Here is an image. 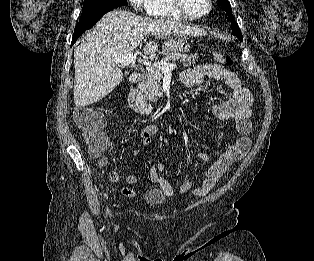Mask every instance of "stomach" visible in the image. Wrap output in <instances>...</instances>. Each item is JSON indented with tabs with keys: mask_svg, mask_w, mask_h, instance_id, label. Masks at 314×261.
Segmentation results:
<instances>
[{
	"mask_svg": "<svg viewBox=\"0 0 314 261\" xmlns=\"http://www.w3.org/2000/svg\"><path fill=\"white\" fill-rule=\"evenodd\" d=\"M167 49L179 53H188L190 51L189 42L182 35L174 34L166 42Z\"/></svg>",
	"mask_w": 314,
	"mask_h": 261,
	"instance_id": "stomach-1",
	"label": "stomach"
}]
</instances>
